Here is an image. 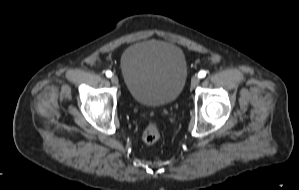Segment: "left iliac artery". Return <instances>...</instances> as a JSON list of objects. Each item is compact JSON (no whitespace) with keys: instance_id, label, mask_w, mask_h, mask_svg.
<instances>
[{"instance_id":"left-iliac-artery-1","label":"left iliac artery","mask_w":299,"mask_h":190,"mask_svg":"<svg viewBox=\"0 0 299 190\" xmlns=\"http://www.w3.org/2000/svg\"><path fill=\"white\" fill-rule=\"evenodd\" d=\"M206 76V71L204 70H201L199 73H198V77L199 78H204Z\"/></svg>"}]
</instances>
